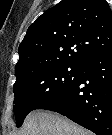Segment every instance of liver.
Instances as JSON below:
<instances>
[{
  "label": "liver",
  "mask_w": 112,
  "mask_h": 135,
  "mask_svg": "<svg viewBox=\"0 0 112 135\" xmlns=\"http://www.w3.org/2000/svg\"><path fill=\"white\" fill-rule=\"evenodd\" d=\"M18 135H92L69 119L50 111L35 110L25 119Z\"/></svg>",
  "instance_id": "1"
}]
</instances>
